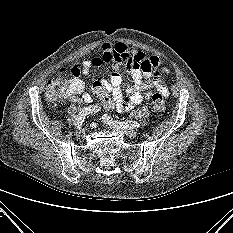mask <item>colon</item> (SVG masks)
Instances as JSON below:
<instances>
[{"instance_id": "obj_1", "label": "colon", "mask_w": 233, "mask_h": 233, "mask_svg": "<svg viewBox=\"0 0 233 233\" xmlns=\"http://www.w3.org/2000/svg\"><path fill=\"white\" fill-rule=\"evenodd\" d=\"M68 85L66 80L62 77H56L50 80L47 84V97L51 102H55L67 95ZM92 94L102 101L105 109H112L114 102L110 98L109 91L99 81L93 83L91 87ZM167 101L164 94L156 92L151 96V106L156 111H164L166 109Z\"/></svg>"}]
</instances>
